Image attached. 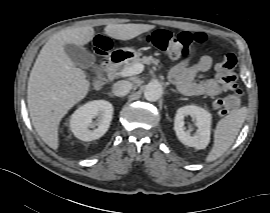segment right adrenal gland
<instances>
[{"label":"right adrenal gland","instance_id":"right-adrenal-gland-1","mask_svg":"<svg viewBox=\"0 0 270 213\" xmlns=\"http://www.w3.org/2000/svg\"><path fill=\"white\" fill-rule=\"evenodd\" d=\"M110 96L113 97V98L115 97L113 93H110Z\"/></svg>","mask_w":270,"mask_h":213}]
</instances>
